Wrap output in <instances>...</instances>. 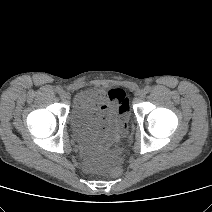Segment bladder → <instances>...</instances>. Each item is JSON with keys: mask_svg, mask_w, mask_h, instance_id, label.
I'll return each instance as SVG.
<instances>
[{"mask_svg": "<svg viewBox=\"0 0 212 212\" xmlns=\"http://www.w3.org/2000/svg\"><path fill=\"white\" fill-rule=\"evenodd\" d=\"M102 94L103 90L90 88L78 92L74 98L70 122L82 141L91 142L95 140L93 133L88 128V118L91 109L98 104Z\"/></svg>", "mask_w": 212, "mask_h": 212, "instance_id": "1", "label": "bladder"}]
</instances>
